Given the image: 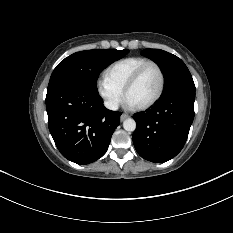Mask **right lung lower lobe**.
I'll return each instance as SVG.
<instances>
[{
    "mask_svg": "<svg viewBox=\"0 0 233 233\" xmlns=\"http://www.w3.org/2000/svg\"><path fill=\"white\" fill-rule=\"evenodd\" d=\"M46 109L58 150L81 165L105 154L121 116L104 107L98 92L70 84L48 87Z\"/></svg>",
    "mask_w": 233,
    "mask_h": 233,
    "instance_id": "98d812e1",
    "label": "right lung lower lobe"
}]
</instances>
